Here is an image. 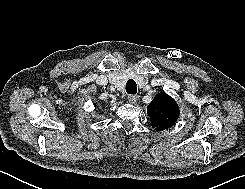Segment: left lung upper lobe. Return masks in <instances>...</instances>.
<instances>
[{"label": "left lung upper lobe", "instance_id": "5c2ea615", "mask_svg": "<svg viewBox=\"0 0 245 189\" xmlns=\"http://www.w3.org/2000/svg\"><path fill=\"white\" fill-rule=\"evenodd\" d=\"M152 126L162 131L175 124L179 117V107L175 100L165 92L159 93L147 107Z\"/></svg>", "mask_w": 245, "mask_h": 189}]
</instances>
